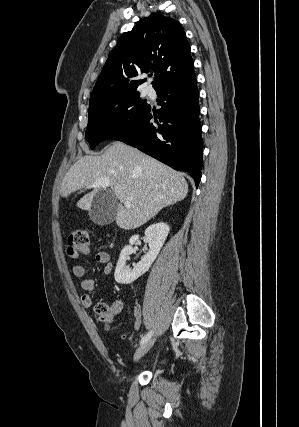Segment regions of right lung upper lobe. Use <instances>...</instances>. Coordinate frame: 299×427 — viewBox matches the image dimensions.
I'll use <instances>...</instances> for the list:
<instances>
[{"label":"right lung upper lobe","mask_w":299,"mask_h":427,"mask_svg":"<svg viewBox=\"0 0 299 427\" xmlns=\"http://www.w3.org/2000/svg\"><path fill=\"white\" fill-rule=\"evenodd\" d=\"M149 72L157 75L154 89L194 72L185 32L176 20L159 13L151 14L121 37L102 69L89 104L137 91L145 81L139 76Z\"/></svg>","instance_id":"cb5924a9"}]
</instances>
